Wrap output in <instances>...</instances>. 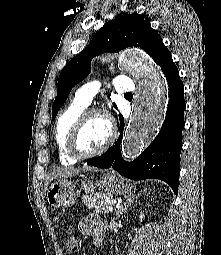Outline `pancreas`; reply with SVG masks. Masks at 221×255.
I'll use <instances>...</instances> for the list:
<instances>
[{
	"instance_id": "cf45deb5",
	"label": "pancreas",
	"mask_w": 221,
	"mask_h": 255,
	"mask_svg": "<svg viewBox=\"0 0 221 255\" xmlns=\"http://www.w3.org/2000/svg\"><path fill=\"white\" fill-rule=\"evenodd\" d=\"M107 199H112V195L107 192H96L83 198L87 208L104 214H108L110 212L109 206H111V204L107 202Z\"/></svg>"
}]
</instances>
